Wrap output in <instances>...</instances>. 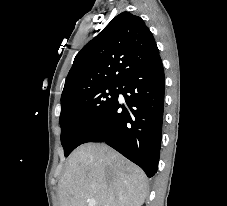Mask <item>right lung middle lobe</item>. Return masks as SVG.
<instances>
[{"instance_id": "obj_1", "label": "right lung middle lobe", "mask_w": 227, "mask_h": 206, "mask_svg": "<svg viewBox=\"0 0 227 206\" xmlns=\"http://www.w3.org/2000/svg\"><path fill=\"white\" fill-rule=\"evenodd\" d=\"M120 84H106L78 92L61 101V143L67 157L84 143L91 130L118 99Z\"/></svg>"}]
</instances>
